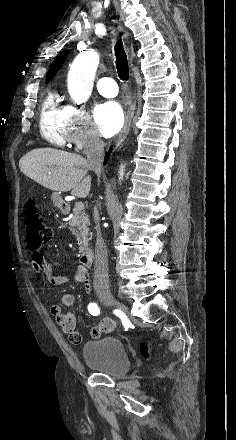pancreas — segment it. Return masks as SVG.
<instances>
[{
	"label": "pancreas",
	"instance_id": "pancreas-1",
	"mask_svg": "<svg viewBox=\"0 0 236 440\" xmlns=\"http://www.w3.org/2000/svg\"><path fill=\"white\" fill-rule=\"evenodd\" d=\"M69 229L77 238L79 251L83 252L88 247L89 225L90 220L87 213L73 209V215L69 220Z\"/></svg>",
	"mask_w": 236,
	"mask_h": 440
}]
</instances>
